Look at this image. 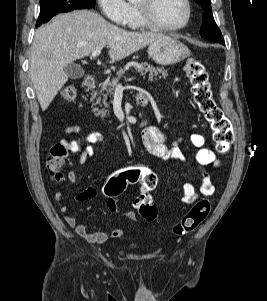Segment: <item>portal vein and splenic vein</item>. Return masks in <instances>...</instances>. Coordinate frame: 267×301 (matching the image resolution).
<instances>
[{
  "label": "portal vein and splenic vein",
  "mask_w": 267,
  "mask_h": 301,
  "mask_svg": "<svg viewBox=\"0 0 267 301\" xmlns=\"http://www.w3.org/2000/svg\"><path fill=\"white\" fill-rule=\"evenodd\" d=\"M101 53V49H96L94 50L92 53H91V56L93 58L97 57L99 54ZM133 78H129L128 81H131ZM116 89L119 90V89H123L122 85L121 84H117L116 85Z\"/></svg>",
  "instance_id": "18ae733b"
}]
</instances>
